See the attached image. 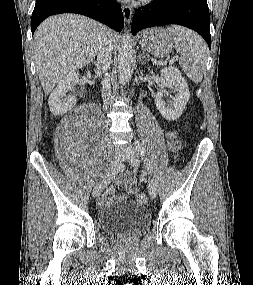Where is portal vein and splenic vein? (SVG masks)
<instances>
[{"mask_svg": "<svg viewBox=\"0 0 253 285\" xmlns=\"http://www.w3.org/2000/svg\"><path fill=\"white\" fill-rule=\"evenodd\" d=\"M178 58H179L178 56H175L172 61L177 60Z\"/></svg>", "mask_w": 253, "mask_h": 285, "instance_id": "portal-vein-and-splenic-vein-1", "label": "portal vein and splenic vein"}]
</instances>
